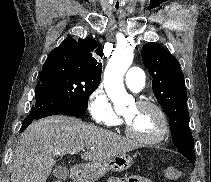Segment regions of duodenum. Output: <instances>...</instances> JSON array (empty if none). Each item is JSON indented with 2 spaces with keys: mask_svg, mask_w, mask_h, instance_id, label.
<instances>
[{
  "mask_svg": "<svg viewBox=\"0 0 211 182\" xmlns=\"http://www.w3.org/2000/svg\"><path fill=\"white\" fill-rule=\"evenodd\" d=\"M77 174H78V169L75 168V169L73 170V175L76 176Z\"/></svg>",
  "mask_w": 211,
  "mask_h": 182,
  "instance_id": "1",
  "label": "duodenum"
}]
</instances>
